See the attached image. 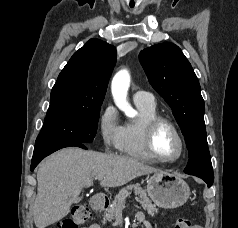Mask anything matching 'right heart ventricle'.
I'll return each instance as SVG.
<instances>
[{
	"label": "right heart ventricle",
	"instance_id": "e07e8e85",
	"mask_svg": "<svg viewBox=\"0 0 238 228\" xmlns=\"http://www.w3.org/2000/svg\"><path fill=\"white\" fill-rule=\"evenodd\" d=\"M135 106L139 111V115L135 120L127 121L122 125L118 150L124 155L139 160L157 162L146 150L144 142L145 124L159 116L156 105L135 103Z\"/></svg>",
	"mask_w": 238,
	"mask_h": 228
}]
</instances>
